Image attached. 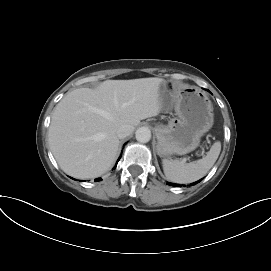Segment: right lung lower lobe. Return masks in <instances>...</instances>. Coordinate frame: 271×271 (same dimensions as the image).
<instances>
[{
  "mask_svg": "<svg viewBox=\"0 0 271 271\" xmlns=\"http://www.w3.org/2000/svg\"><path fill=\"white\" fill-rule=\"evenodd\" d=\"M120 158H121V156L119 157V159H120ZM119 159H118V161H119ZM118 161H117V163H118ZM116 166H117V165H116ZM116 166H115V167H116ZM115 167H114V168H115ZM100 180H102V179H101V178L95 179V181H100Z\"/></svg>",
  "mask_w": 271,
  "mask_h": 271,
  "instance_id": "obj_1",
  "label": "right lung lower lobe"
}]
</instances>
